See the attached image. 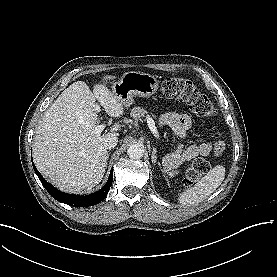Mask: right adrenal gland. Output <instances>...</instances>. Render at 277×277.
<instances>
[{
  "label": "right adrenal gland",
  "instance_id": "right-adrenal-gland-1",
  "mask_svg": "<svg viewBox=\"0 0 277 277\" xmlns=\"http://www.w3.org/2000/svg\"><path fill=\"white\" fill-rule=\"evenodd\" d=\"M108 158H109V154L107 155V160H108ZM106 165H107V162H106Z\"/></svg>",
  "mask_w": 277,
  "mask_h": 277
}]
</instances>
